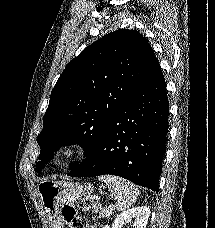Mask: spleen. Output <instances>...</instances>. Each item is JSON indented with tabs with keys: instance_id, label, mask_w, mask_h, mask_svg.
<instances>
[{
	"instance_id": "3e777b00",
	"label": "spleen",
	"mask_w": 215,
	"mask_h": 228,
	"mask_svg": "<svg viewBox=\"0 0 215 228\" xmlns=\"http://www.w3.org/2000/svg\"><path fill=\"white\" fill-rule=\"evenodd\" d=\"M97 178L100 182L107 184L116 200L117 210H128L136 202L139 190L129 180H124V178H119V176H97Z\"/></svg>"
}]
</instances>
